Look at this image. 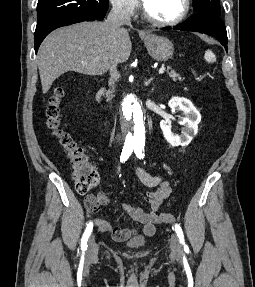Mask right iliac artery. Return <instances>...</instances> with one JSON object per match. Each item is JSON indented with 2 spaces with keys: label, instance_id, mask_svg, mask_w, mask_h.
Returning <instances> with one entry per match:
<instances>
[{
  "label": "right iliac artery",
  "instance_id": "82829eb1",
  "mask_svg": "<svg viewBox=\"0 0 255 287\" xmlns=\"http://www.w3.org/2000/svg\"><path fill=\"white\" fill-rule=\"evenodd\" d=\"M132 151H133V148H131V147L123 148L122 153H121V157H120V161L125 162L129 158V156L131 155ZM92 229H93V223L90 222L87 225V228H86V230L83 234V237L81 239V249L83 251H85L87 249V240H88V238L92 232Z\"/></svg>",
  "mask_w": 255,
  "mask_h": 287
}]
</instances>
